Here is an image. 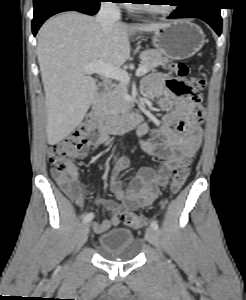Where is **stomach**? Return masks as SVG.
Returning <instances> with one entry per match:
<instances>
[{"label":"stomach","mask_w":246,"mask_h":300,"mask_svg":"<svg viewBox=\"0 0 246 300\" xmlns=\"http://www.w3.org/2000/svg\"><path fill=\"white\" fill-rule=\"evenodd\" d=\"M152 43L165 58L183 60L203 47L205 35L198 25L187 20H177L156 30Z\"/></svg>","instance_id":"0dacf381"}]
</instances>
